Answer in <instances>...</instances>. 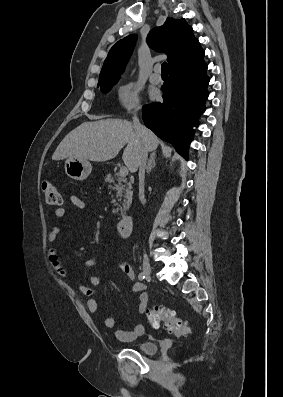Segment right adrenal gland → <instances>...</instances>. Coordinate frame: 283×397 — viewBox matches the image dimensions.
<instances>
[{"label": "right adrenal gland", "mask_w": 283, "mask_h": 397, "mask_svg": "<svg viewBox=\"0 0 283 397\" xmlns=\"http://www.w3.org/2000/svg\"><path fill=\"white\" fill-rule=\"evenodd\" d=\"M155 158H156V153L153 152L150 155V158L148 160V164H147V168H146L147 173H150L152 168H154L156 166Z\"/></svg>", "instance_id": "1"}]
</instances>
